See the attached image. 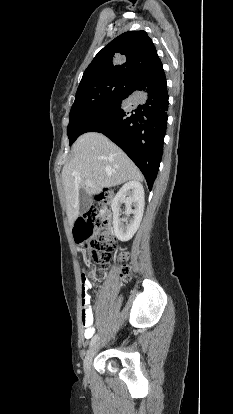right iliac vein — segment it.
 <instances>
[{"label": "right iliac vein", "instance_id": "obj_1", "mask_svg": "<svg viewBox=\"0 0 233 414\" xmlns=\"http://www.w3.org/2000/svg\"><path fill=\"white\" fill-rule=\"evenodd\" d=\"M98 347H99V344H96V345L92 346L90 348V350L87 352V355L84 359V372H85L86 376H89V374H90L91 364H92L93 358H94V356L97 352Z\"/></svg>", "mask_w": 233, "mask_h": 414}]
</instances>
